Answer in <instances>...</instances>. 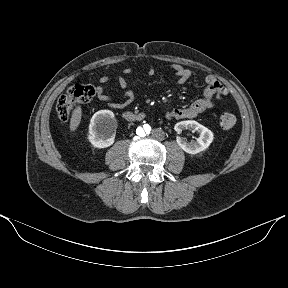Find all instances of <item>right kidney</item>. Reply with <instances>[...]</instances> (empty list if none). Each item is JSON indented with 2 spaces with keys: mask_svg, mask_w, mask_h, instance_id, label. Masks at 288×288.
<instances>
[{
  "mask_svg": "<svg viewBox=\"0 0 288 288\" xmlns=\"http://www.w3.org/2000/svg\"><path fill=\"white\" fill-rule=\"evenodd\" d=\"M114 114L110 110L96 112L89 125L88 140L96 148H106L114 143Z\"/></svg>",
  "mask_w": 288,
  "mask_h": 288,
  "instance_id": "obj_1",
  "label": "right kidney"
}]
</instances>
